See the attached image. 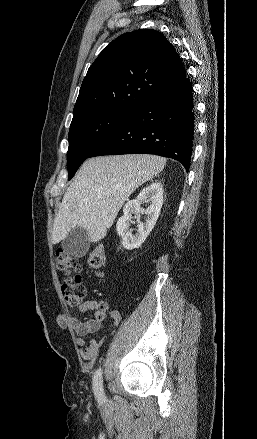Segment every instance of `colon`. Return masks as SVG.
Segmentation results:
<instances>
[{"label":"colon","instance_id":"colon-1","mask_svg":"<svg viewBox=\"0 0 257 439\" xmlns=\"http://www.w3.org/2000/svg\"><path fill=\"white\" fill-rule=\"evenodd\" d=\"M104 262V248L97 246L88 256V264L91 268L99 271ZM56 266L66 275L61 290L67 305L71 308L78 307L86 295V289L80 276L81 266L78 260L68 252L58 250L56 252ZM98 276H101L100 272H98Z\"/></svg>","mask_w":257,"mask_h":439}]
</instances>
